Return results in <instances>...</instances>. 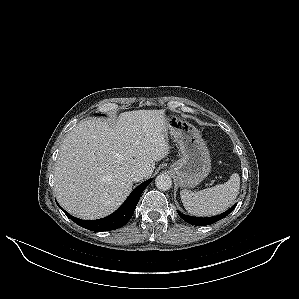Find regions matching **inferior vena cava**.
Instances as JSON below:
<instances>
[{
	"label": "inferior vena cava",
	"mask_w": 299,
	"mask_h": 299,
	"mask_svg": "<svg viewBox=\"0 0 299 299\" xmlns=\"http://www.w3.org/2000/svg\"><path fill=\"white\" fill-rule=\"evenodd\" d=\"M145 171L143 169H135L130 173V178L133 182H139L144 179Z\"/></svg>",
	"instance_id": "1"
}]
</instances>
